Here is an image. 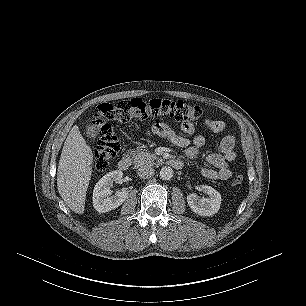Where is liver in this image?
<instances>
[{
	"instance_id": "1",
	"label": "liver",
	"mask_w": 306,
	"mask_h": 306,
	"mask_svg": "<svg viewBox=\"0 0 306 306\" xmlns=\"http://www.w3.org/2000/svg\"><path fill=\"white\" fill-rule=\"evenodd\" d=\"M93 153L74 126L62 149L57 173V189L67 207L84 213L86 192L92 175Z\"/></svg>"
}]
</instances>
